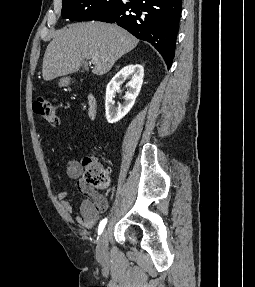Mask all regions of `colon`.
<instances>
[{"mask_svg":"<svg viewBox=\"0 0 255 287\" xmlns=\"http://www.w3.org/2000/svg\"><path fill=\"white\" fill-rule=\"evenodd\" d=\"M33 110L49 125L53 127L60 125V117L49 100L37 98L33 102ZM83 165L85 167L84 180L87 185L96 190H104L108 187L109 172L100 161L93 156H88L84 159Z\"/></svg>","mask_w":255,"mask_h":287,"instance_id":"colon-1","label":"colon"}]
</instances>
